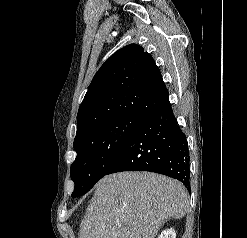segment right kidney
Wrapping results in <instances>:
<instances>
[{
    "instance_id": "ca27d5eb",
    "label": "right kidney",
    "mask_w": 247,
    "mask_h": 238,
    "mask_svg": "<svg viewBox=\"0 0 247 238\" xmlns=\"http://www.w3.org/2000/svg\"><path fill=\"white\" fill-rule=\"evenodd\" d=\"M158 238H176V233L174 229H167L161 232Z\"/></svg>"
}]
</instances>
